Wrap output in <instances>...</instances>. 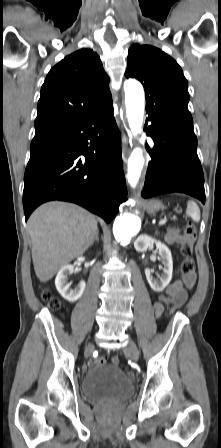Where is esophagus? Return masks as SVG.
I'll return each mask as SVG.
<instances>
[{
	"label": "esophagus",
	"instance_id": "34e87169",
	"mask_svg": "<svg viewBox=\"0 0 221 448\" xmlns=\"http://www.w3.org/2000/svg\"><path fill=\"white\" fill-rule=\"evenodd\" d=\"M129 151H130V149H129L128 138H127L126 134L123 133V139H122V159H123L124 163H126V161H127Z\"/></svg>",
	"mask_w": 221,
	"mask_h": 448
}]
</instances>
